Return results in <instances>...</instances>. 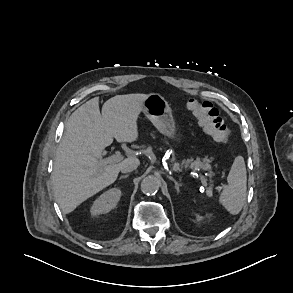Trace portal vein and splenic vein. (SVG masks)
Returning a JSON list of instances; mask_svg holds the SVG:
<instances>
[{
	"instance_id": "portal-vein-and-splenic-vein-1",
	"label": "portal vein and splenic vein",
	"mask_w": 293,
	"mask_h": 293,
	"mask_svg": "<svg viewBox=\"0 0 293 293\" xmlns=\"http://www.w3.org/2000/svg\"><path fill=\"white\" fill-rule=\"evenodd\" d=\"M123 160V156L120 153H115L111 155L110 157H107L105 159H102L100 162L102 164H111V163H117ZM201 182L203 186H207V182L204 178H201Z\"/></svg>"
}]
</instances>
